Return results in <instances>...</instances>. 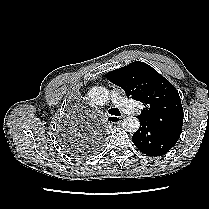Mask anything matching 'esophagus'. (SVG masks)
I'll list each match as a JSON object with an SVG mask.
<instances>
[{"label":"esophagus","mask_w":209,"mask_h":209,"mask_svg":"<svg viewBox=\"0 0 209 209\" xmlns=\"http://www.w3.org/2000/svg\"><path fill=\"white\" fill-rule=\"evenodd\" d=\"M122 119H124V117H117V116H111V115H109L107 118L109 123H119L122 121Z\"/></svg>","instance_id":"34e87169"}]
</instances>
